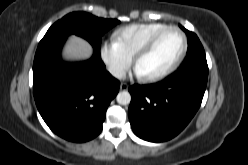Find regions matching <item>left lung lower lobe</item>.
<instances>
[{
	"instance_id": "left-lung-lower-lobe-1",
	"label": "left lung lower lobe",
	"mask_w": 248,
	"mask_h": 165,
	"mask_svg": "<svg viewBox=\"0 0 248 165\" xmlns=\"http://www.w3.org/2000/svg\"><path fill=\"white\" fill-rule=\"evenodd\" d=\"M207 78L206 58H198L162 82L131 86L128 116L135 135L150 142L178 135L199 109Z\"/></svg>"
}]
</instances>
